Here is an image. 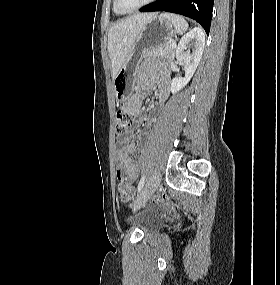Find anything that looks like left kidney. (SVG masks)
Returning <instances> with one entry per match:
<instances>
[{
  "label": "left kidney",
  "instance_id": "5707ae66",
  "mask_svg": "<svg viewBox=\"0 0 280 285\" xmlns=\"http://www.w3.org/2000/svg\"><path fill=\"white\" fill-rule=\"evenodd\" d=\"M205 45V34L200 27H194L180 40L176 49L177 60L183 62L185 77H175L171 82V92L177 93L192 78L201 60Z\"/></svg>",
  "mask_w": 280,
  "mask_h": 285
}]
</instances>
